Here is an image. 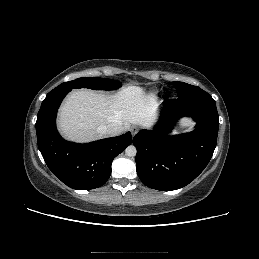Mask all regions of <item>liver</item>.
<instances>
[{
    "label": "liver",
    "mask_w": 259,
    "mask_h": 259,
    "mask_svg": "<svg viewBox=\"0 0 259 259\" xmlns=\"http://www.w3.org/2000/svg\"><path fill=\"white\" fill-rule=\"evenodd\" d=\"M158 103L143 88L127 86L113 95L88 89L72 91L58 115V128L68 140L84 143L105 137L100 126L119 123L148 127L157 117Z\"/></svg>",
    "instance_id": "obj_1"
}]
</instances>
